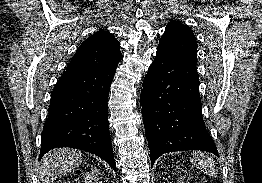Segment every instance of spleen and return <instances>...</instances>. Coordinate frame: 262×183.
<instances>
[{
  "label": "spleen",
  "instance_id": "3e777b00",
  "mask_svg": "<svg viewBox=\"0 0 262 183\" xmlns=\"http://www.w3.org/2000/svg\"><path fill=\"white\" fill-rule=\"evenodd\" d=\"M192 157V162L194 166L198 167L200 170L210 175L216 173V166L214 165V162L211 157L201 152H194L192 154Z\"/></svg>",
  "mask_w": 262,
  "mask_h": 183
}]
</instances>
